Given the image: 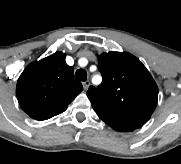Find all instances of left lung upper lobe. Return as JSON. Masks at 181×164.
Masks as SVG:
<instances>
[{
  "label": "left lung upper lobe",
  "mask_w": 181,
  "mask_h": 164,
  "mask_svg": "<svg viewBox=\"0 0 181 164\" xmlns=\"http://www.w3.org/2000/svg\"><path fill=\"white\" fill-rule=\"evenodd\" d=\"M103 81L90 86L87 96L103 120L142 127L154 112L158 87L146 67L135 56L108 52L98 56Z\"/></svg>",
  "instance_id": "5c2ea615"
}]
</instances>
